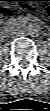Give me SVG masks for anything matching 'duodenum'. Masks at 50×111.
Returning a JSON list of instances; mask_svg holds the SVG:
<instances>
[{
    "label": "duodenum",
    "instance_id": "obj_1",
    "mask_svg": "<svg viewBox=\"0 0 50 111\" xmlns=\"http://www.w3.org/2000/svg\"><path fill=\"white\" fill-rule=\"evenodd\" d=\"M5 35H6V31H3V32H2V38H4Z\"/></svg>",
    "mask_w": 50,
    "mask_h": 111
}]
</instances>
